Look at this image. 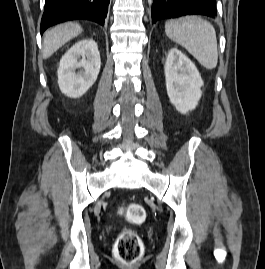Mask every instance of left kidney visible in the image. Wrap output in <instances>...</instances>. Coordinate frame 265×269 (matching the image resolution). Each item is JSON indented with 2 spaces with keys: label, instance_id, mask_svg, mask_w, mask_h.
Listing matches in <instances>:
<instances>
[{
  "label": "left kidney",
  "instance_id": "obj_1",
  "mask_svg": "<svg viewBox=\"0 0 265 269\" xmlns=\"http://www.w3.org/2000/svg\"><path fill=\"white\" fill-rule=\"evenodd\" d=\"M165 82L170 102L181 114H187L198 105L202 96L203 80L192 61L176 48L168 52Z\"/></svg>",
  "mask_w": 265,
  "mask_h": 269
}]
</instances>
